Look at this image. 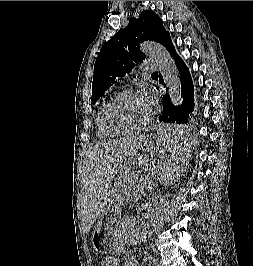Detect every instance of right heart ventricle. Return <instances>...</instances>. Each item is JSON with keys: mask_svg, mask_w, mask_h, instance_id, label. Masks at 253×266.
I'll list each match as a JSON object with an SVG mask.
<instances>
[{"mask_svg": "<svg viewBox=\"0 0 253 266\" xmlns=\"http://www.w3.org/2000/svg\"><path fill=\"white\" fill-rule=\"evenodd\" d=\"M107 101H108V99L104 100L101 103V106H100V108L97 112V116H96V135L99 139H109V138L116 136L115 134H112V133L106 131L102 125V122H101L102 110H103L104 105L107 103Z\"/></svg>", "mask_w": 253, "mask_h": 266, "instance_id": "1", "label": "right heart ventricle"}]
</instances>
